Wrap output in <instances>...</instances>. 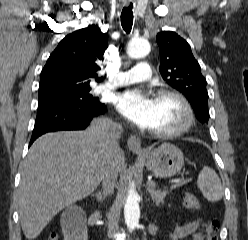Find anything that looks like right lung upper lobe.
<instances>
[{
    "label": "right lung upper lobe",
    "mask_w": 248,
    "mask_h": 240,
    "mask_svg": "<svg viewBox=\"0 0 248 240\" xmlns=\"http://www.w3.org/2000/svg\"><path fill=\"white\" fill-rule=\"evenodd\" d=\"M107 46V35L94 24L67 35L42 69L39 98L90 90L92 79H102L96 72Z\"/></svg>",
    "instance_id": "cb5924a9"
}]
</instances>
